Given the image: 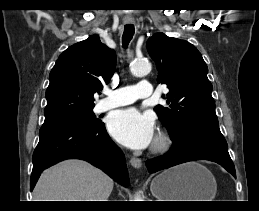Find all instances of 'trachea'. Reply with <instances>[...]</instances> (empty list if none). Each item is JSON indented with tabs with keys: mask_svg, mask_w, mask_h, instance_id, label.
I'll return each instance as SVG.
<instances>
[{
	"mask_svg": "<svg viewBox=\"0 0 259 211\" xmlns=\"http://www.w3.org/2000/svg\"><path fill=\"white\" fill-rule=\"evenodd\" d=\"M134 35V26L133 25H125L124 26V32L122 35V43L123 47L127 48L129 42L133 38Z\"/></svg>",
	"mask_w": 259,
	"mask_h": 211,
	"instance_id": "obj_1",
	"label": "trachea"
}]
</instances>
